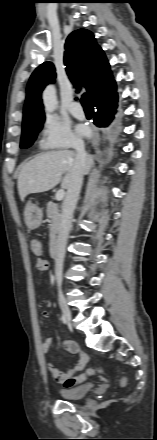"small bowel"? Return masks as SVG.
Returning a JSON list of instances; mask_svg holds the SVG:
<instances>
[{"instance_id":"small-bowel-1","label":"small bowel","mask_w":157,"mask_h":440,"mask_svg":"<svg viewBox=\"0 0 157 440\" xmlns=\"http://www.w3.org/2000/svg\"><path fill=\"white\" fill-rule=\"evenodd\" d=\"M48 268H49V264L47 265L45 270H47ZM41 316L43 318H48L49 313L44 311L41 313ZM52 344H53V340L51 338H47L42 344V351L45 354L48 353L52 347ZM62 347L69 355H78L77 363L66 371H61L52 364H48L47 369L50 375L57 382L64 384L66 380H68L71 377H74L84 369L87 362V355L80 350L78 344L74 341L66 340L62 343Z\"/></svg>"}]
</instances>
